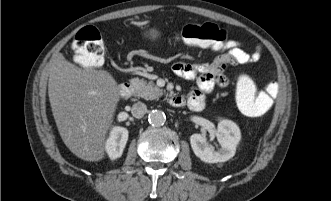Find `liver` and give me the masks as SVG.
Listing matches in <instances>:
<instances>
[{"mask_svg":"<svg viewBox=\"0 0 331 201\" xmlns=\"http://www.w3.org/2000/svg\"><path fill=\"white\" fill-rule=\"evenodd\" d=\"M48 95L59 134L67 148L85 161L105 157L120 93L106 70H83L54 54L47 66Z\"/></svg>","mask_w":331,"mask_h":201,"instance_id":"1","label":"liver"}]
</instances>
